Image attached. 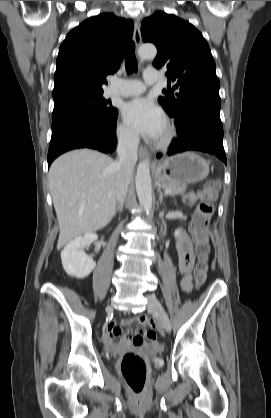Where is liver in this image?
I'll return each instance as SVG.
<instances>
[{"label": "liver", "mask_w": 271, "mask_h": 418, "mask_svg": "<svg viewBox=\"0 0 271 418\" xmlns=\"http://www.w3.org/2000/svg\"><path fill=\"white\" fill-rule=\"evenodd\" d=\"M115 163L91 149L65 153L52 163L48 180L60 228L57 249L111 221L116 208Z\"/></svg>", "instance_id": "liver-1"}]
</instances>
